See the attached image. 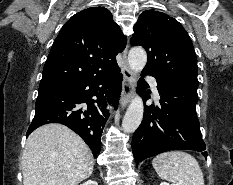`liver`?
Wrapping results in <instances>:
<instances>
[{
  "label": "liver",
  "mask_w": 233,
  "mask_h": 185,
  "mask_svg": "<svg viewBox=\"0 0 233 185\" xmlns=\"http://www.w3.org/2000/svg\"><path fill=\"white\" fill-rule=\"evenodd\" d=\"M21 166L23 185H78L91 176L94 158L80 136L51 123L28 136Z\"/></svg>",
  "instance_id": "6515ba94"
}]
</instances>
